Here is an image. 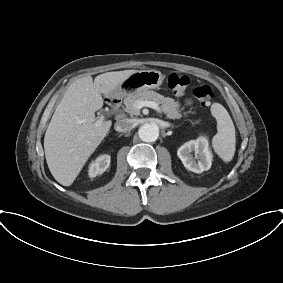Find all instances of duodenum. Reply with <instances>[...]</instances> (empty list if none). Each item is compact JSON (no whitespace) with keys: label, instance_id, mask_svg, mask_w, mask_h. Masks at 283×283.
Returning a JSON list of instances; mask_svg holds the SVG:
<instances>
[{"label":"duodenum","instance_id":"obj_1","mask_svg":"<svg viewBox=\"0 0 283 283\" xmlns=\"http://www.w3.org/2000/svg\"><path fill=\"white\" fill-rule=\"evenodd\" d=\"M120 97L119 96H114V97H110L108 100H107V104L108 106L116 111L118 109V107L120 106Z\"/></svg>","mask_w":283,"mask_h":283}]
</instances>
